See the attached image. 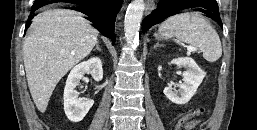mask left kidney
Returning <instances> with one entry per match:
<instances>
[{"label":"left kidney","instance_id":"left-kidney-1","mask_svg":"<svg viewBox=\"0 0 257 130\" xmlns=\"http://www.w3.org/2000/svg\"><path fill=\"white\" fill-rule=\"evenodd\" d=\"M171 63L176 64L179 68H187V71L183 72V83L178 91L171 87H166L163 92L171 102L180 105L186 104L194 96L197 88L202 83L205 72L189 57L174 59Z\"/></svg>","mask_w":257,"mask_h":130}]
</instances>
